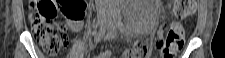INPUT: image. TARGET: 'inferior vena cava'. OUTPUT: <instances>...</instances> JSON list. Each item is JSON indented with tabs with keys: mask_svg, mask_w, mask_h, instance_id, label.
Here are the masks:
<instances>
[{
	"mask_svg": "<svg viewBox=\"0 0 225 58\" xmlns=\"http://www.w3.org/2000/svg\"><path fill=\"white\" fill-rule=\"evenodd\" d=\"M98 3V8H97V11H98V14L100 16H105L106 15V6L104 5V1L103 0H100V1H97Z\"/></svg>",
	"mask_w": 225,
	"mask_h": 58,
	"instance_id": "1",
	"label": "inferior vena cava"
}]
</instances>
